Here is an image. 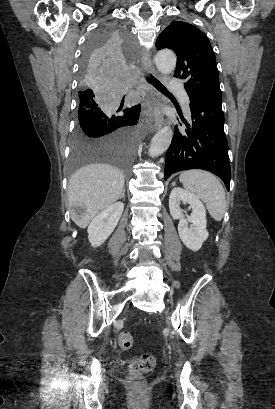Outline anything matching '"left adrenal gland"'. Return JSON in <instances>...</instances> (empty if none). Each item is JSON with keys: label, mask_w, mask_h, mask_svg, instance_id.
Segmentation results:
<instances>
[{"label": "left adrenal gland", "mask_w": 275, "mask_h": 409, "mask_svg": "<svg viewBox=\"0 0 275 409\" xmlns=\"http://www.w3.org/2000/svg\"><path fill=\"white\" fill-rule=\"evenodd\" d=\"M174 184H175V180H174V182H172V186H174Z\"/></svg>", "instance_id": "1"}]
</instances>
